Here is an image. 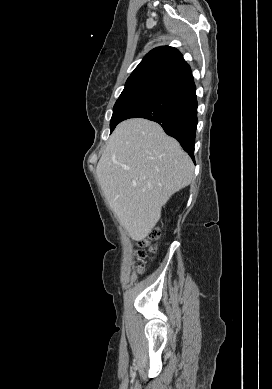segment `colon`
<instances>
[{"mask_svg": "<svg viewBox=\"0 0 272 389\" xmlns=\"http://www.w3.org/2000/svg\"><path fill=\"white\" fill-rule=\"evenodd\" d=\"M161 237V231L159 229H154L150 232L147 239L141 241L140 249L137 252L139 261L137 262V267L139 270H142V259L146 256L148 252H154L155 246L154 241H157Z\"/></svg>", "mask_w": 272, "mask_h": 389, "instance_id": "colon-1", "label": "colon"}]
</instances>
